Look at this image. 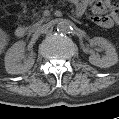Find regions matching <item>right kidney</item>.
<instances>
[{"instance_id":"1","label":"right kidney","mask_w":119,"mask_h":119,"mask_svg":"<svg viewBox=\"0 0 119 119\" xmlns=\"http://www.w3.org/2000/svg\"><path fill=\"white\" fill-rule=\"evenodd\" d=\"M24 50L25 43L18 41L7 51L5 55V68L9 74H23L34 65V53H31L26 59Z\"/></svg>"}]
</instances>
